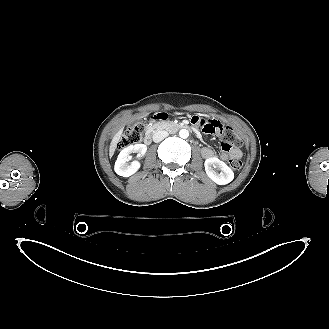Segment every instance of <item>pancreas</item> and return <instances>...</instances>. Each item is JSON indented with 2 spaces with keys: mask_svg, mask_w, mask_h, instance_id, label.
I'll list each match as a JSON object with an SVG mask.
<instances>
[{
  "mask_svg": "<svg viewBox=\"0 0 329 329\" xmlns=\"http://www.w3.org/2000/svg\"><path fill=\"white\" fill-rule=\"evenodd\" d=\"M173 128H177V125L172 123V122H168V123H165L161 129H166V130H172Z\"/></svg>",
  "mask_w": 329,
  "mask_h": 329,
  "instance_id": "obj_1",
  "label": "pancreas"
}]
</instances>
